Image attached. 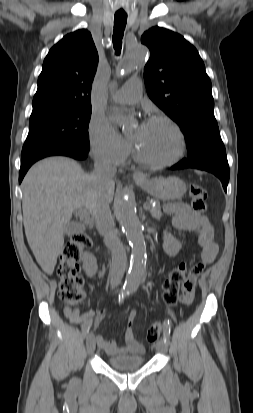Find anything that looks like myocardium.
<instances>
[{
    "instance_id": "f54148a6",
    "label": "myocardium",
    "mask_w": 253,
    "mask_h": 413,
    "mask_svg": "<svg viewBox=\"0 0 253 413\" xmlns=\"http://www.w3.org/2000/svg\"><path fill=\"white\" fill-rule=\"evenodd\" d=\"M156 121L165 122L166 124L170 126V128L175 133L177 141H178V148H177L175 155L172 158L165 160V161H154V160H151L145 157L137 146L134 147V154H135L136 159L144 165H147L153 168H165V167L172 166L181 160L186 150V140L179 125L167 115H162V114L154 115L150 117L147 122H156Z\"/></svg>"
}]
</instances>
